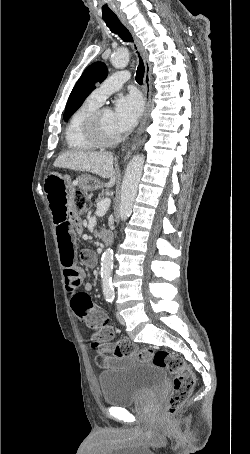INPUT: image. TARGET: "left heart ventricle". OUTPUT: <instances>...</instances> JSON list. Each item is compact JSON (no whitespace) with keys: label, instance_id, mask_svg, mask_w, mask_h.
Returning <instances> with one entry per match:
<instances>
[{"label":"left heart ventricle","instance_id":"1","mask_svg":"<svg viewBox=\"0 0 250 454\" xmlns=\"http://www.w3.org/2000/svg\"><path fill=\"white\" fill-rule=\"evenodd\" d=\"M102 126L106 134L110 136L118 135V132L114 126V115L111 110H105L102 114Z\"/></svg>","mask_w":250,"mask_h":454}]
</instances>
